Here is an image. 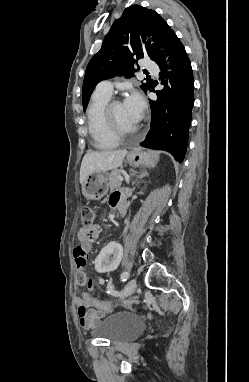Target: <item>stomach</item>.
<instances>
[{"label": "stomach", "mask_w": 249, "mask_h": 382, "mask_svg": "<svg viewBox=\"0 0 249 382\" xmlns=\"http://www.w3.org/2000/svg\"><path fill=\"white\" fill-rule=\"evenodd\" d=\"M158 156L151 151L133 150L127 155V162L132 166L142 164L154 166ZM108 175L98 171L91 173L82 185V194L87 200H100L108 190Z\"/></svg>", "instance_id": "0dacf381"}]
</instances>
